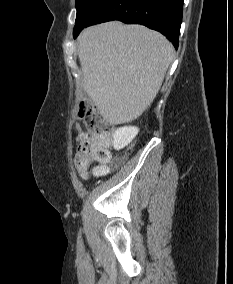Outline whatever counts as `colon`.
<instances>
[{
	"label": "colon",
	"mask_w": 233,
	"mask_h": 284,
	"mask_svg": "<svg viewBox=\"0 0 233 284\" xmlns=\"http://www.w3.org/2000/svg\"><path fill=\"white\" fill-rule=\"evenodd\" d=\"M79 116L86 131L78 136L77 162L86 166L93 163L106 164L110 161V145L113 124L101 117L94 104L82 102Z\"/></svg>",
	"instance_id": "5ec220e1"
}]
</instances>
